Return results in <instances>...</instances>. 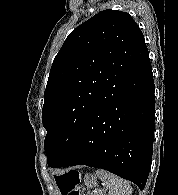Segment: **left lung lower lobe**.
Masks as SVG:
<instances>
[{"instance_id": "obj_1", "label": "left lung lower lobe", "mask_w": 178, "mask_h": 195, "mask_svg": "<svg viewBox=\"0 0 178 195\" xmlns=\"http://www.w3.org/2000/svg\"><path fill=\"white\" fill-rule=\"evenodd\" d=\"M154 82L149 57L92 114L84 131L54 166L87 165L144 189L154 138Z\"/></svg>"}]
</instances>
